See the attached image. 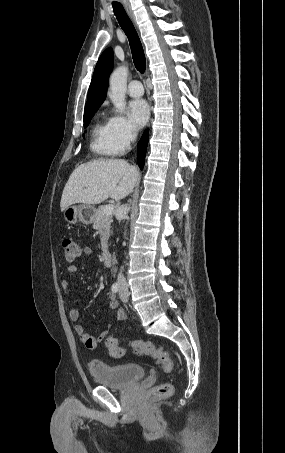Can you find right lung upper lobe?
I'll use <instances>...</instances> for the list:
<instances>
[{
    "label": "right lung upper lobe",
    "instance_id": "cb5924a9",
    "mask_svg": "<svg viewBox=\"0 0 285 453\" xmlns=\"http://www.w3.org/2000/svg\"><path fill=\"white\" fill-rule=\"evenodd\" d=\"M113 68V50L107 48L100 56L88 91L85 112L97 111L106 98L108 78Z\"/></svg>",
    "mask_w": 285,
    "mask_h": 453
}]
</instances>
